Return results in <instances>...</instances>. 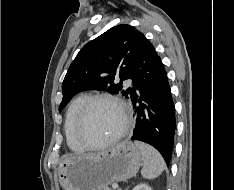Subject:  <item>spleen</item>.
Returning <instances> with one entry per match:
<instances>
[{
	"instance_id": "spleen-1",
	"label": "spleen",
	"mask_w": 234,
	"mask_h": 190,
	"mask_svg": "<svg viewBox=\"0 0 234 190\" xmlns=\"http://www.w3.org/2000/svg\"><path fill=\"white\" fill-rule=\"evenodd\" d=\"M134 144L140 150L144 162L142 176L146 179H155L160 176L165 169V162L160 153L146 143L135 141Z\"/></svg>"
}]
</instances>
